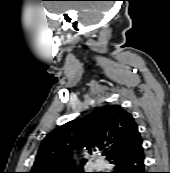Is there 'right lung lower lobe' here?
Masks as SVG:
<instances>
[{
  "label": "right lung lower lobe",
  "mask_w": 170,
  "mask_h": 173,
  "mask_svg": "<svg viewBox=\"0 0 170 173\" xmlns=\"http://www.w3.org/2000/svg\"><path fill=\"white\" fill-rule=\"evenodd\" d=\"M113 173H146L142 144L111 161Z\"/></svg>",
  "instance_id": "right-lung-lower-lobe-1"
}]
</instances>
